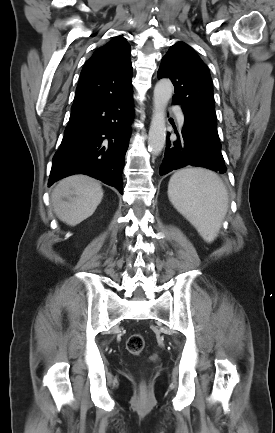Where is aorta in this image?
<instances>
[{
    "label": "aorta",
    "mask_w": 275,
    "mask_h": 433,
    "mask_svg": "<svg viewBox=\"0 0 275 433\" xmlns=\"http://www.w3.org/2000/svg\"><path fill=\"white\" fill-rule=\"evenodd\" d=\"M173 84L169 79L159 80L154 88L153 115L149 129L148 148L152 154L158 155L166 141V106L172 97Z\"/></svg>",
    "instance_id": "762f6f07"
}]
</instances>
